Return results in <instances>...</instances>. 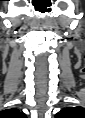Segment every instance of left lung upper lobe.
I'll list each match as a JSON object with an SVG mask.
<instances>
[{"label": "left lung upper lobe", "mask_w": 85, "mask_h": 118, "mask_svg": "<svg viewBox=\"0 0 85 118\" xmlns=\"http://www.w3.org/2000/svg\"><path fill=\"white\" fill-rule=\"evenodd\" d=\"M75 111V108H65L61 110V117L72 114Z\"/></svg>", "instance_id": "obj_1"}]
</instances>
